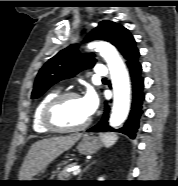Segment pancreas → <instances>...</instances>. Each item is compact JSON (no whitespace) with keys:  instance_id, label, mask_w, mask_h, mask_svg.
Returning a JSON list of instances; mask_svg holds the SVG:
<instances>
[{"instance_id":"pancreas-1","label":"pancreas","mask_w":178,"mask_h":186,"mask_svg":"<svg viewBox=\"0 0 178 186\" xmlns=\"http://www.w3.org/2000/svg\"><path fill=\"white\" fill-rule=\"evenodd\" d=\"M73 166H75L74 163L66 166L62 171H60L57 175V181H69L71 177L70 172H67V170Z\"/></svg>"}]
</instances>
